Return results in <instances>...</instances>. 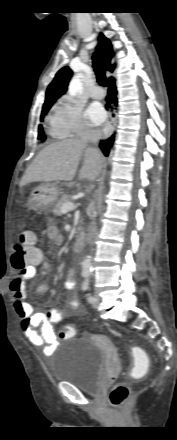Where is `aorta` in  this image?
Returning <instances> with one entry per match:
<instances>
[{"mask_svg": "<svg viewBox=\"0 0 177 440\" xmlns=\"http://www.w3.org/2000/svg\"><path fill=\"white\" fill-rule=\"evenodd\" d=\"M81 74L75 75L68 87V93L71 96H76L78 93L82 91V82H81ZM82 271L84 274L89 275L92 271L91 258L90 256H86L82 262Z\"/></svg>", "mask_w": 177, "mask_h": 440, "instance_id": "762f6f07", "label": "aorta"}]
</instances>
